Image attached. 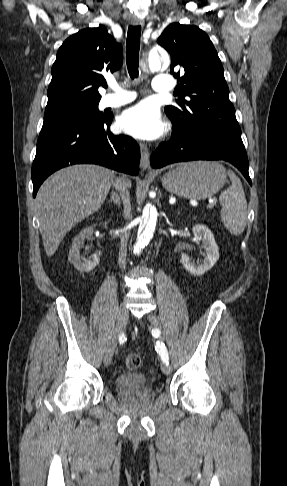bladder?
Here are the masks:
<instances>
[{
    "label": "bladder",
    "mask_w": 287,
    "mask_h": 486,
    "mask_svg": "<svg viewBox=\"0 0 287 486\" xmlns=\"http://www.w3.org/2000/svg\"><path fill=\"white\" fill-rule=\"evenodd\" d=\"M116 386L121 390H150L153 380L141 373H125L119 375L115 380Z\"/></svg>",
    "instance_id": "bladder-1"
}]
</instances>
